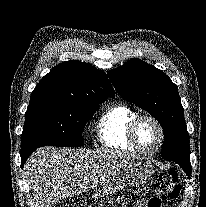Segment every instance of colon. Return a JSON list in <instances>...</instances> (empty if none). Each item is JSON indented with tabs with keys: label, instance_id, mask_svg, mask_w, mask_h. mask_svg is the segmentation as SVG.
Listing matches in <instances>:
<instances>
[{
	"label": "colon",
	"instance_id": "obj_1",
	"mask_svg": "<svg viewBox=\"0 0 206 207\" xmlns=\"http://www.w3.org/2000/svg\"><path fill=\"white\" fill-rule=\"evenodd\" d=\"M156 190L161 196L176 199L180 193L177 173L173 170L160 173L156 183ZM103 207H115V204L109 203ZM148 207H162V200L159 197H154L149 200Z\"/></svg>",
	"mask_w": 206,
	"mask_h": 207
}]
</instances>
